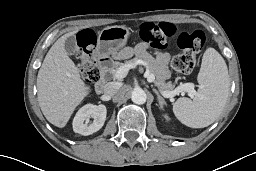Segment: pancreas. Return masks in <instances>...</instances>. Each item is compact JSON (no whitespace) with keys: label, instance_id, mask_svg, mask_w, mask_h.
<instances>
[{"label":"pancreas","instance_id":"cf45deb5","mask_svg":"<svg viewBox=\"0 0 256 171\" xmlns=\"http://www.w3.org/2000/svg\"><path fill=\"white\" fill-rule=\"evenodd\" d=\"M138 59H142L145 62V67L147 68L149 74H152L155 76L154 82L160 91H170L173 89L174 86L171 82H165L167 78V76L165 75V70L159 67L156 64L154 57L147 52H143L141 55H139V57L125 61L124 63L114 62L113 66L107 69V71L108 73L114 76L118 68L124 65L134 64L137 62Z\"/></svg>","mask_w":256,"mask_h":171}]
</instances>
